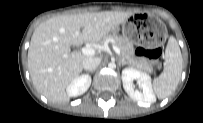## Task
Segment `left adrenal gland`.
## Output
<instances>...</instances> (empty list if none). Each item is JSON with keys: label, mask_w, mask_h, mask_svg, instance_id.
<instances>
[{"label": "left adrenal gland", "mask_w": 203, "mask_h": 123, "mask_svg": "<svg viewBox=\"0 0 203 123\" xmlns=\"http://www.w3.org/2000/svg\"><path fill=\"white\" fill-rule=\"evenodd\" d=\"M119 64H121L123 66V65H126L127 62L122 58V59H120Z\"/></svg>", "instance_id": "1"}]
</instances>
